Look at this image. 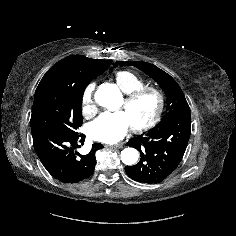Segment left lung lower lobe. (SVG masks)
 Wrapping results in <instances>:
<instances>
[{"label":"left lung lower lobe","instance_id":"obj_1","mask_svg":"<svg viewBox=\"0 0 236 236\" xmlns=\"http://www.w3.org/2000/svg\"><path fill=\"white\" fill-rule=\"evenodd\" d=\"M191 133V116L178 115L158 128L128 141L140 151L141 159L126 166V174L135 181L155 184L166 179L180 164Z\"/></svg>","mask_w":236,"mask_h":236}]
</instances>
